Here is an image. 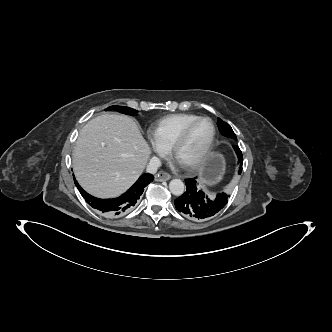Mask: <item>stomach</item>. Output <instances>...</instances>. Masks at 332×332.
I'll return each instance as SVG.
<instances>
[{"instance_id":"0dacf381","label":"stomach","mask_w":332,"mask_h":332,"mask_svg":"<svg viewBox=\"0 0 332 332\" xmlns=\"http://www.w3.org/2000/svg\"><path fill=\"white\" fill-rule=\"evenodd\" d=\"M224 173V161L220 154H210L200 168V184L205 189L216 185Z\"/></svg>"}]
</instances>
